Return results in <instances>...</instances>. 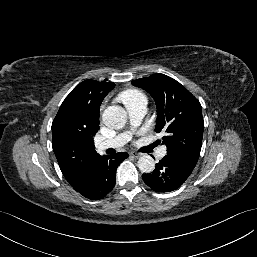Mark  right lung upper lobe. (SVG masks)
Wrapping results in <instances>:
<instances>
[{
    "label": "right lung upper lobe",
    "instance_id": "1",
    "mask_svg": "<svg viewBox=\"0 0 257 257\" xmlns=\"http://www.w3.org/2000/svg\"><path fill=\"white\" fill-rule=\"evenodd\" d=\"M115 87L112 82L85 80L65 98L52 123V147L61 172L77 189L97 158L93 137L99 129V108Z\"/></svg>",
    "mask_w": 257,
    "mask_h": 257
}]
</instances>
